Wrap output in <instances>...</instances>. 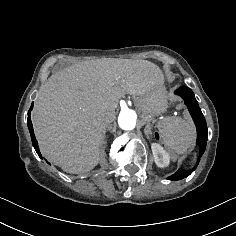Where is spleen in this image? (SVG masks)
I'll use <instances>...</instances> for the list:
<instances>
[{"label": "spleen", "mask_w": 236, "mask_h": 236, "mask_svg": "<svg viewBox=\"0 0 236 236\" xmlns=\"http://www.w3.org/2000/svg\"><path fill=\"white\" fill-rule=\"evenodd\" d=\"M160 132L164 142L179 154L192 151L196 131L193 124L180 118H167L160 124Z\"/></svg>", "instance_id": "spleen-1"}]
</instances>
